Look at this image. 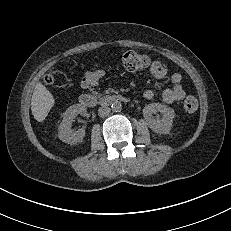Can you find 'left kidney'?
<instances>
[{"instance_id":"left-kidney-1","label":"left kidney","mask_w":231,"mask_h":231,"mask_svg":"<svg viewBox=\"0 0 231 231\" xmlns=\"http://www.w3.org/2000/svg\"><path fill=\"white\" fill-rule=\"evenodd\" d=\"M157 112L162 114V118L153 116V114H156ZM143 116L152 131L159 134H168L173 125L175 112L167 105L150 103L144 107Z\"/></svg>"}]
</instances>
